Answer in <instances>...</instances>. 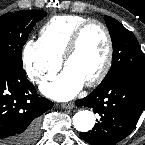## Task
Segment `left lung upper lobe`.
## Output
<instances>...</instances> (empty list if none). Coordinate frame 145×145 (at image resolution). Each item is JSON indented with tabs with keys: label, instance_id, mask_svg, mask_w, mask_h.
Segmentation results:
<instances>
[{
	"label": "left lung upper lobe",
	"instance_id": "left-lung-upper-lobe-1",
	"mask_svg": "<svg viewBox=\"0 0 145 145\" xmlns=\"http://www.w3.org/2000/svg\"><path fill=\"white\" fill-rule=\"evenodd\" d=\"M104 19L112 40L113 60L100 85L123 75L145 78V60L134 34L114 18L105 16Z\"/></svg>",
	"mask_w": 145,
	"mask_h": 145
}]
</instances>
